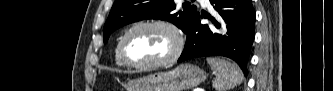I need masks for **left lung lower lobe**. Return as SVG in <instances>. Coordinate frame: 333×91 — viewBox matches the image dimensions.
<instances>
[{
    "instance_id": "0a47b994",
    "label": "left lung lower lobe",
    "mask_w": 333,
    "mask_h": 91,
    "mask_svg": "<svg viewBox=\"0 0 333 91\" xmlns=\"http://www.w3.org/2000/svg\"><path fill=\"white\" fill-rule=\"evenodd\" d=\"M210 3L218 15L208 16L212 25H202L199 13L194 16L178 62L202 56H225L233 59L247 75L249 53L255 38L256 15L252 1L210 0Z\"/></svg>"
}]
</instances>
